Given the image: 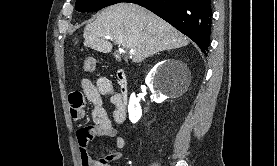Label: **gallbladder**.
I'll list each match as a JSON object with an SVG mask.
<instances>
[{
	"label": "gallbladder",
	"instance_id": "obj_1",
	"mask_svg": "<svg viewBox=\"0 0 277 166\" xmlns=\"http://www.w3.org/2000/svg\"><path fill=\"white\" fill-rule=\"evenodd\" d=\"M114 56H115V58L119 59V53L118 52L114 53Z\"/></svg>",
	"mask_w": 277,
	"mask_h": 166
}]
</instances>
